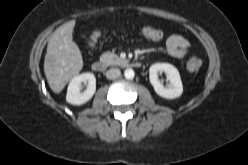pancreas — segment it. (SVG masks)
I'll use <instances>...</instances> for the list:
<instances>
[{"label":"pancreas","mask_w":248,"mask_h":165,"mask_svg":"<svg viewBox=\"0 0 248 165\" xmlns=\"http://www.w3.org/2000/svg\"><path fill=\"white\" fill-rule=\"evenodd\" d=\"M101 62L106 63L108 65H123L127 61L120 58L114 52H105L100 57Z\"/></svg>","instance_id":"cf45deb5"}]
</instances>
